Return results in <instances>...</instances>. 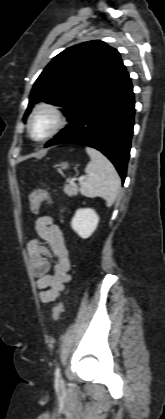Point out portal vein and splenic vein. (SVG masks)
Here are the masks:
<instances>
[{"instance_id":"18ae733b","label":"portal vein and splenic vein","mask_w":165,"mask_h":419,"mask_svg":"<svg viewBox=\"0 0 165 419\" xmlns=\"http://www.w3.org/2000/svg\"><path fill=\"white\" fill-rule=\"evenodd\" d=\"M85 178H86L85 176H81L78 180H79L80 182H82ZM71 184H73V183L71 182Z\"/></svg>"}]
</instances>
